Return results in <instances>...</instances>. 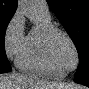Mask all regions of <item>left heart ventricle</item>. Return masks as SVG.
Listing matches in <instances>:
<instances>
[{"mask_svg":"<svg viewBox=\"0 0 89 89\" xmlns=\"http://www.w3.org/2000/svg\"><path fill=\"white\" fill-rule=\"evenodd\" d=\"M54 53L62 70L72 69L76 64V56L70 43L62 36L54 42Z\"/></svg>","mask_w":89,"mask_h":89,"instance_id":"obj_1","label":"left heart ventricle"}]
</instances>
